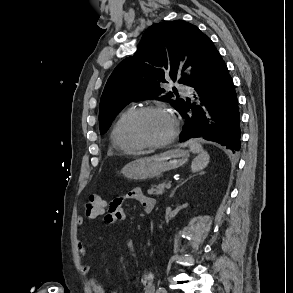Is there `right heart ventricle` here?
<instances>
[{
	"label": "right heart ventricle",
	"instance_id": "e07e8e85",
	"mask_svg": "<svg viewBox=\"0 0 293 293\" xmlns=\"http://www.w3.org/2000/svg\"><path fill=\"white\" fill-rule=\"evenodd\" d=\"M135 110L134 107H129L122 111L112 126L111 143L115 149L121 152L135 153L143 149V146L133 141L128 133V124Z\"/></svg>",
	"mask_w": 293,
	"mask_h": 293
}]
</instances>
